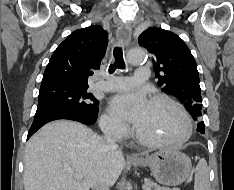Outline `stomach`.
<instances>
[{"mask_svg": "<svg viewBox=\"0 0 234 190\" xmlns=\"http://www.w3.org/2000/svg\"><path fill=\"white\" fill-rule=\"evenodd\" d=\"M136 165H148L155 180L167 186L183 183L191 173L190 158L175 149H161L146 159L133 161Z\"/></svg>", "mask_w": 234, "mask_h": 190, "instance_id": "stomach-1", "label": "stomach"}]
</instances>
